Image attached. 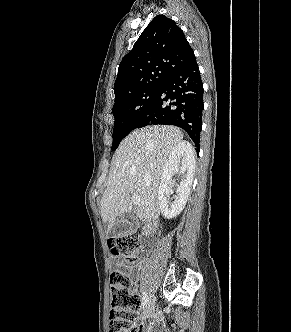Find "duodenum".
I'll return each instance as SVG.
<instances>
[{
	"mask_svg": "<svg viewBox=\"0 0 291 332\" xmlns=\"http://www.w3.org/2000/svg\"><path fill=\"white\" fill-rule=\"evenodd\" d=\"M155 222H149V223H147L145 226H144V228H143V233L145 234V235H148V234H150L152 231H153V229L155 228Z\"/></svg>",
	"mask_w": 291,
	"mask_h": 332,
	"instance_id": "410a0bca",
	"label": "duodenum"
}]
</instances>
